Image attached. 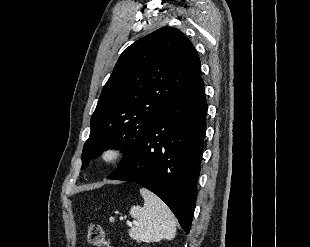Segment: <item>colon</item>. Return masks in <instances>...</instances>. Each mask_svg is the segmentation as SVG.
Wrapping results in <instances>:
<instances>
[{"label":"colon","instance_id":"obj_1","mask_svg":"<svg viewBox=\"0 0 310 247\" xmlns=\"http://www.w3.org/2000/svg\"><path fill=\"white\" fill-rule=\"evenodd\" d=\"M87 239L95 247H107L108 239L101 225L90 223L88 226Z\"/></svg>","mask_w":310,"mask_h":247}]
</instances>
